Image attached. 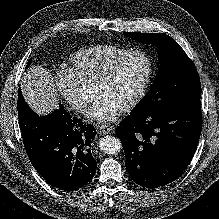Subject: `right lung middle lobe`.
<instances>
[{
    "mask_svg": "<svg viewBox=\"0 0 219 219\" xmlns=\"http://www.w3.org/2000/svg\"><path fill=\"white\" fill-rule=\"evenodd\" d=\"M30 62H31V59L29 60V62L27 63V66H29L30 65Z\"/></svg>",
    "mask_w": 219,
    "mask_h": 219,
    "instance_id": "obj_1",
    "label": "right lung middle lobe"
}]
</instances>
